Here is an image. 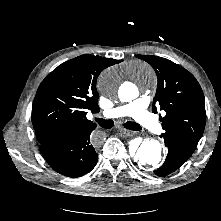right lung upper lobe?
Segmentation results:
<instances>
[{"label":"right lung upper lobe","instance_id":"obj_1","mask_svg":"<svg viewBox=\"0 0 221 221\" xmlns=\"http://www.w3.org/2000/svg\"><path fill=\"white\" fill-rule=\"evenodd\" d=\"M122 60L84 54L54 69L40 84L32 107L38 142L96 125L86 118L99 112L96 81L107 67Z\"/></svg>","mask_w":221,"mask_h":221}]
</instances>
